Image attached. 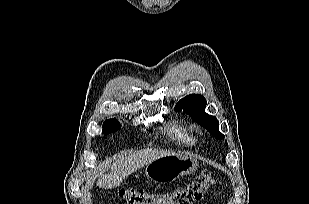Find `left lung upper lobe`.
Wrapping results in <instances>:
<instances>
[{"label":"left lung upper lobe","mask_w":309,"mask_h":204,"mask_svg":"<svg viewBox=\"0 0 309 204\" xmlns=\"http://www.w3.org/2000/svg\"><path fill=\"white\" fill-rule=\"evenodd\" d=\"M206 99L199 94H190L181 99L175 106V111L183 110L198 124L206 128L213 137L224 139L225 136L219 132V121L216 117L205 113ZM227 143V142H226Z\"/></svg>","instance_id":"1"}]
</instances>
